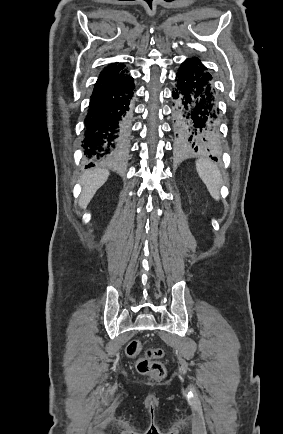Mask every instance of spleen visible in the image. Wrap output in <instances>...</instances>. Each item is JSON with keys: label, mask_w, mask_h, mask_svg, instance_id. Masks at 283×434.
<instances>
[{"label": "spleen", "mask_w": 283, "mask_h": 434, "mask_svg": "<svg viewBox=\"0 0 283 434\" xmlns=\"http://www.w3.org/2000/svg\"><path fill=\"white\" fill-rule=\"evenodd\" d=\"M196 170L205 183L210 195L219 200V187L222 183L221 173L217 166L208 159H198Z\"/></svg>", "instance_id": "3e777b00"}]
</instances>
